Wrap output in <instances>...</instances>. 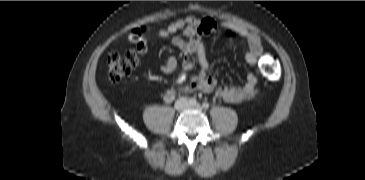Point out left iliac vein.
<instances>
[{"mask_svg":"<svg viewBox=\"0 0 365 180\" xmlns=\"http://www.w3.org/2000/svg\"><path fill=\"white\" fill-rule=\"evenodd\" d=\"M188 109H196L198 111H202L203 107L200 104H196V105H187Z\"/></svg>","mask_w":365,"mask_h":180,"instance_id":"obj_1","label":"left iliac vein"}]
</instances>
